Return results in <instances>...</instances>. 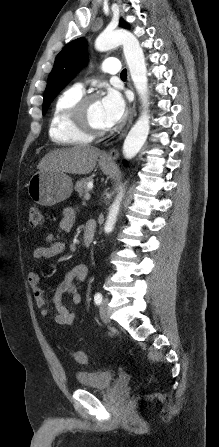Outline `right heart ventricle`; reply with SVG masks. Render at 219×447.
<instances>
[{
    "label": "right heart ventricle",
    "instance_id": "right-heart-ventricle-1",
    "mask_svg": "<svg viewBox=\"0 0 219 447\" xmlns=\"http://www.w3.org/2000/svg\"><path fill=\"white\" fill-rule=\"evenodd\" d=\"M82 92L74 87L62 92L56 99L50 116L49 136L60 145H79L88 143L91 138L79 132L73 125L70 113Z\"/></svg>",
    "mask_w": 219,
    "mask_h": 447
}]
</instances>
